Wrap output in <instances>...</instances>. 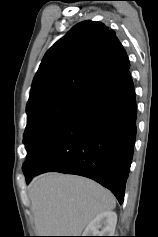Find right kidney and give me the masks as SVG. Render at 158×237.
Wrapping results in <instances>:
<instances>
[{
  "mask_svg": "<svg viewBox=\"0 0 158 237\" xmlns=\"http://www.w3.org/2000/svg\"><path fill=\"white\" fill-rule=\"evenodd\" d=\"M117 214L106 211L96 216L85 228L82 236H114Z\"/></svg>",
  "mask_w": 158,
  "mask_h": 237,
  "instance_id": "1",
  "label": "right kidney"
}]
</instances>
